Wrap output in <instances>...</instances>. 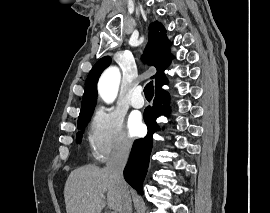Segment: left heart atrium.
Returning <instances> with one entry per match:
<instances>
[{
	"label": "left heart atrium",
	"mask_w": 270,
	"mask_h": 213,
	"mask_svg": "<svg viewBox=\"0 0 270 213\" xmlns=\"http://www.w3.org/2000/svg\"><path fill=\"white\" fill-rule=\"evenodd\" d=\"M127 128L130 137H137L142 134L144 126L137 115H131L128 119Z\"/></svg>",
	"instance_id": "39dd6f15"
}]
</instances>
